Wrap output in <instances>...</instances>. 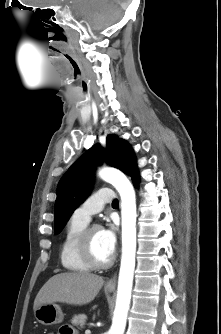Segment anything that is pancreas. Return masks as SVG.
Here are the masks:
<instances>
[{
	"label": "pancreas",
	"instance_id": "cf45deb5",
	"mask_svg": "<svg viewBox=\"0 0 221 334\" xmlns=\"http://www.w3.org/2000/svg\"><path fill=\"white\" fill-rule=\"evenodd\" d=\"M86 315L81 314V315H75L72 319H71V323L77 327H84L85 323H86Z\"/></svg>",
	"mask_w": 221,
	"mask_h": 334
}]
</instances>
